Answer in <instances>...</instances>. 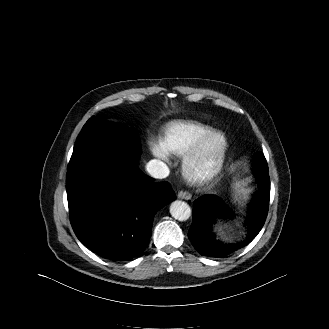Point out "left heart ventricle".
Instances as JSON below:
<instances>
[{
    "mask_svg": "<svg viewBox=\"0 0 329 329\" xmlns=\"http://www.w3.org/2000/svg\"><path fill=\"white\" fill-rule=\"evenodd\" d=\"M220 139L214 138L205 147L204 151L195 163V169L199 172L210 169L216 162Z\"/></svg>",
    "mask_w": 329,
    "mask_h": 329,
    "instance_id": "b2bd125f",
    "label": "left heart ventricle"
}]
</instances>
